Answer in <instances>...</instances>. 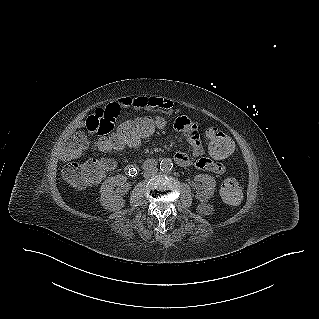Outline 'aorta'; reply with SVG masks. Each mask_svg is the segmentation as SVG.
Instances as JSON below:
<instances>
[{
	"instance_id": "obj_1",
	"label": "aorta",
	"mask_w": 319,
	"mask_h": 319,
	"mask_svg": "<svg viewBox=\"0 0 319 319\" xmlns=\"http://www.w3.org/2000/svg\"><path fill=\"white\" fill-rule=\"evenodd\" d=\"M173 169V163L171 159L165 158L160 162V170L162 172L168 173Z\"/></svg>"
}]
</instances>
